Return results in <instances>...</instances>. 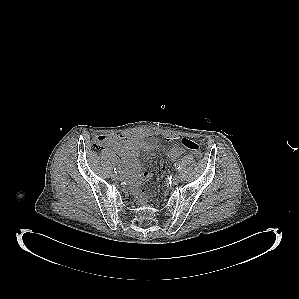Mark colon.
Segmentation results:
<instances>
[{
    "mask_svg": "<svg viewBox=\"0 0 299 299\" xmlns=\"http://www.w3.org/2000/svg\"><path fill=\"white\" fill-rule=\"evenodd\" d=\"M109 136L103 135V136H98L95 140L94 147L97 150H101L105 147L106 141L108 140ZM181 144L184 148L189 150L196 158H201L202 157V152L200 149V146L193 140L189 138H183L181 140Z\"/></svg>",
    "mask_w": 299,
    "mask_h": 299,
    "instance_id": "colon-1",
    "label": "colon"
}]
</instances>
